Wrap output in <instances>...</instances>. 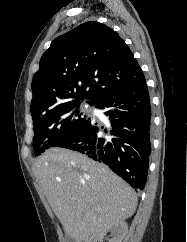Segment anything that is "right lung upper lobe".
I'll return each mask as SVG.
<instances>
[{"instance_id": "1", "label": "right lung upper lobe", "mask_w": 187, "mask_h": 242, "mask_svg": "<svg viewBox=\"0 0 187 242\" xmlns=\"http://www.w3.org/2000/svg\"><path fill=\"white\" fill-rule=\"evenodd\" d=\"M145 81L124 40L111 28L87 22L52 41L32 81V117L58 106L106 96Z\"/></svg>"}]
</instances>
